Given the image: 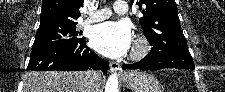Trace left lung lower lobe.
<instances>
[{
  "label": "left lung lower lobe",
  "instance_id": "left-lung-lower-lobe-1",
  "mask_svg": "<svg viewBox=\"0 0 225 92\" xmlns=\"http://www.w3.org/2000/svg\"><path fill=\"white\" fill-rule=\"evenodd\" d=\"M163 68L194 69V62L188 50L154 51L139 62L122 66V69L158 70Z\"/></svg>",
  "mask_w": 225,
  "mask_h": 92
}]
</instances>
